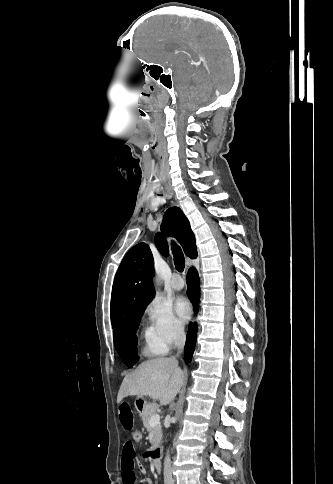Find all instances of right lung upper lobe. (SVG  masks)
<instances>
[{
  "mask_svg": "<svg viewBox=\"0 0 333 484\" xmlns=\"http://www.w3.org/2000/svg\"><path fill=\"white\" fill-rule=\"evenodd\" d=\"M161 230L162 233L155 237V244L163 255H168L165 236L171 235L179 241L188 257H197L194 234L180 208L172 207L166 211ZM153 265V256L146 243H139L124 257L112 287L110 313L114 334L129 315L145 310L152 300Z\"/></svg>",
  "mask_w": 333,
  "mask_h": 484,
  "instance_id": "obj_1",
  "label": "right lung upper lobe"
}]
</instances>
